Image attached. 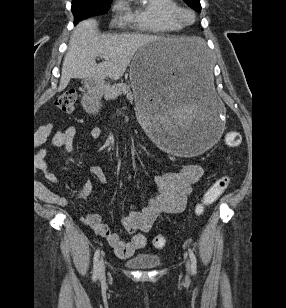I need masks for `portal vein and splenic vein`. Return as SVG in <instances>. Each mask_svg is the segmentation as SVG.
I'll return each instance as SVG.
<instances>
[{"label":"portal vein and splenic vein","mask_w":286,"mask_h":308,"mask_svg":"<svg viewBox=\"0 0 286 308\" xmlns=\"http://www.w3.org/2000/svg\"><path fill=\"white\" fill-rule=\"evenodd\" d=\"M102 57H103L104 59H108L106 55H103Z\"/></svg>","instance_id":"obj_1"}]
</instances>
